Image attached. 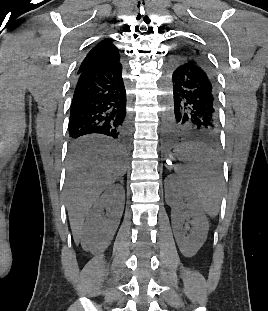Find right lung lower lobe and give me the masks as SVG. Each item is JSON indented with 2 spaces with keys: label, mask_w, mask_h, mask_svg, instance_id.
I'll return each instance as SVG.
<instances>
[{
  "label": "right lung lower lobe",
  "mask_w": 268,
  "mask_h": 311,
  "mask_svg": "<svg viewBox=\"0 0 268 311\" xmlns=\"http://www.w3.org/2000/svg\"><path fill=\"white\" fill-rule=\"evenodd\" d=\"M68 131L72 140L103 134L128 143L130 115L121 63L77 73Z\"/></svg>",
  "instance_id": "right-lung-lower-lobe-1"
}]
</instances>
